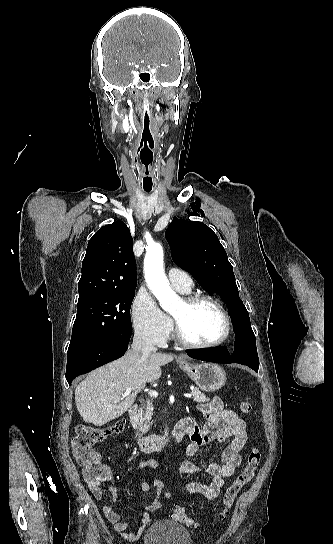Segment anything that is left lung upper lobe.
Listing matches in <instances>:
<instances>
[{"instance_id": "obj_1", "label": "left lung upper lobe", "mask_w": 333, "mask_h": 544, "mask_svg": "<svg viewBox=\"0 0 333 544\" xmlns=\"http://www.w3.org/2000/svg\"><path fill=\"white\" fill-rule=\"evenodd\" d=\"M174 262L190 271L197 282L210 292L222 295L231 319L249 320L239 298L233 267L212 229L202 222L174 218L166 231Z\"/></svg>"}]
</instances>
